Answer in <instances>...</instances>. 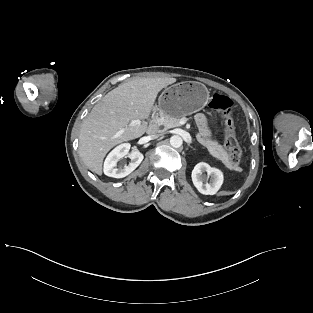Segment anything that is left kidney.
I'll return each instance as SVG.
<instances>
[{
  "instance_id": "left-kidney-1",
  "label": "left kidney",
  "mask_w": 313,
  "mask_h": 313,
  "mask_svg": "<svg viewBox=\"0 0 313 313\" xmlns=\"http://www.w3.org/2000/svg\"><path fill=\"white\" fill-rule=\"evenodd\" d=\"M207 173L208 179L203 175ZM192 181L197 190L205 195H214L220 189L223 183V174L217 168H212L204 162L195 165L192 171Z\"/></svg>"
}]
</instances>
